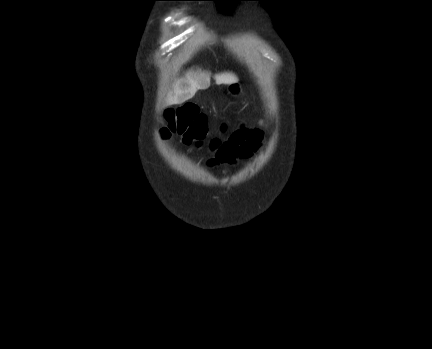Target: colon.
<instances>
[{
	"mask_svg": "<svg viewBox=\"0 0 432 349\" xmlns=\"http://www.w3.org/2000/svg\"><path fill=\"white\" fill-rule=\"evenodd\" d=\"M166 124L162 131L165 136L178 134L187 145L199 146L208 132L206 116L194 104H185L176 109H169L165 114ZM217 140L212 141L211 147L217 153L221 150Z\"/></svg>",
	"mask_w": 432,
	"mask_h": 349,
	"instance_id": "colon-1",
	"label": "colon"
}]
</instances>
